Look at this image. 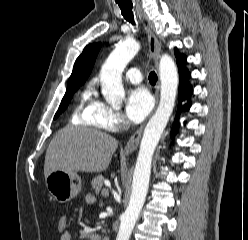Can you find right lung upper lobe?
I'll return each mask as SVG.
<instances>
[{"instance_id":"obj_1","label":"right lung upper lobe","mask_w":248,"mask_h":240,"mask_svg":"<svg viewBox=\"0 0 248 240\" xmlns=\"http://www.w3.org/2000/svg\"><path fill=\"white\" fill-rule=\"evenodd\" d=\"M100 48V43H93L85 47L82 54L77 58L68 81L77 80L82 82V84L86 81L94 66Z\"/></svg>"}]
</instances>
